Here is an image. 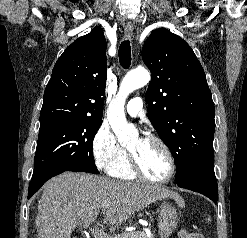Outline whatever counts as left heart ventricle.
<instances>
[{"mask_svg": "<svg viewBox=\"0 0 247 238\" xmlns=\"http://www.w3.org/2000/svg\"><path fill=\"white\" fill-rule=\"evenodd\" d=\"M131 151L145 175L151 178H162L169 171V161L164 150L155 142L136 138L129 145Z\"/></svg>", "mask_w": 247, "mask_h": 238, "instance_id": "1", "label": "left heart ventricle"}]
</instances>
